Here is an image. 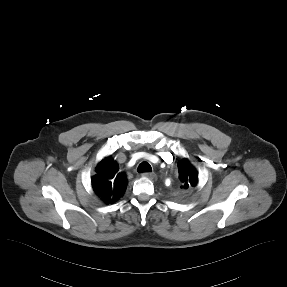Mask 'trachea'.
<instances>
[{
    "mask_svg": "<svg viewBox=\"0 0 287 287\" xmlns=\"http://www.w3.org/2000/svg\"><path fill=\"white\" fill-rule=\"evenodd\" d=\"M137 171L139 173H143V172H152V168L151 165L148 162H142L139 166Z\"/></svg>",
    "mask_w": 287,
    "mask_h": 287,
    "instance_id": "obj_1",
    "label": "trachea"
}]
</instances>
